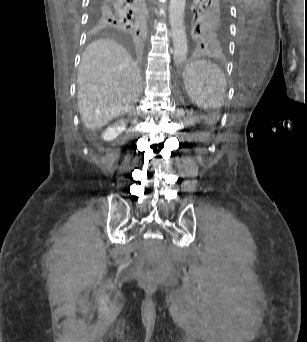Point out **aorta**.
Wrapping results in <instances>:
<instances>
[{
	"label": "aorta",
	"mask_w": 307,
	"mask_h": 342,
	"mask_svg": "<svg viewBox=\"0 0 307 342\" xmlns=\"http://www.w3.org/2000/svg\"><path fill=\"white\" fill-rule=\"evenodd\" d=\"M186 0H170L169 22L173 38L174 64H182L186 60L188 46L184 26V10Z\"/></svg>",
	"instance_id": "aorta-1"
}]
</instances>
